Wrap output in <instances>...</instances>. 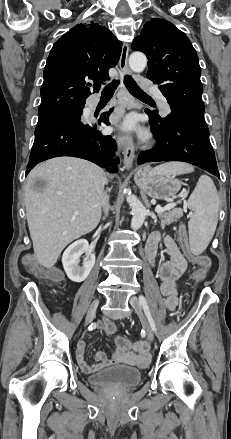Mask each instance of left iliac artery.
I'll return each instance as SVG.
<instances>
[{"label": "left iliac artery", "mask_w": 231, "mask_h": 439, "mask_svg": "<svg viewBox=\"0 0 231 439\" xmlns=\"http://www.w3.org/2000/svg\"><path fill=\"white\" fill-rule=\"evenodd\" d=\"M139 302H140L141 306L144 309L145 315H146V317H147V319L149 321V324H150L152 330L155 332L156 331V326H155L154 320H153V318L151 316V313H150L147 301H146V299H145V297L143 295L139 296Z\"/></svg>", "instance_id": "obj_1"}]
</instances>
